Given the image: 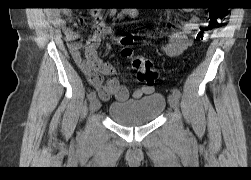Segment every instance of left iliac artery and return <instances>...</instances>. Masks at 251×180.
I'll use <instances>...</instances> for the list:
<instances>
[{"label":"left iliac artery","instance_id":"left-iliac-artery-1","mask_svg":"<svg viewBox=\"0 0 251 180\" xmlns=\"http://www.w3.org/2000/svg\"><path fill=\"white\" fill-rule=\"evenodd\" d=\"M172 93H173V95H174L175 97H177V98H180V96H181L180 90L177 89V88H174V89L172 90Z\"/></svg>","mask_w":251,"mask_h":180}]
</instances>
